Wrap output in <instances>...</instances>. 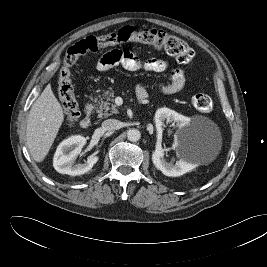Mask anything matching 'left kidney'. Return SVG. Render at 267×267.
Returning a JSON list of instances; mask_svg holds the SVG:
<instances>
[{
	"instance_id": "5707ae66",
	"label": "left kidney",
	"mask_w": 267,
	"mask_h": 267,
	"mask_svg": "<svg viewBox=\"0 0 267 267\" xmlns=\"http://www.w3.org/2000/svg\"><path fill=\"white\" fill-rule=\"evenodd\" d=\"M154 119L157 131L159 133H161L163 130L165 120L176 122L180 129H183L190 124V119L188 117H185L168 108L158 109L155 113ZM163 156V149L158 144L156 150L152 154V162L154 166L166 176L178 177L192 171L196 167L195 163L186 158H181L180 160L176 161L175 165H172L170 163H167L163 159Z\"/></svg>"
}]
</instances>
